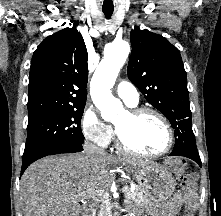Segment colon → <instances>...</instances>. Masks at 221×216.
Segmentation results:
<instances>
[{
    "instance_id": "obj_1",
    "label": "colon",
    "mask_w": 221,
    "mask_h": 216,
    "mask_svg": "<svg viewBox=\"0 0 221 216\" xmlns=\"http://www.w3.org/2000/svg\"><path fill=\"white\" fill-rule=\"evenodd\" d=\"M170 167L182 180V190L188 197H193L195 192V183L192 178L186 174V163L184 160L175 159L171 161Z\"/></svg>"
}]
</instances>
